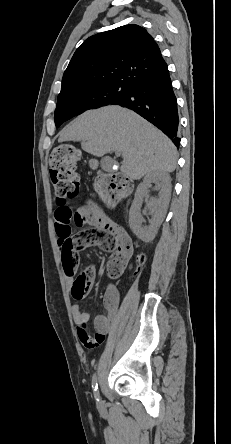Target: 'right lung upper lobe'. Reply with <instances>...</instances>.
<instances>
[{
  "instance_id": "right-lung-upper-lobe-1",
  "label": "right lung upper lobe",
  "mask_w": 231,
  "mask_h": 444,
  "mask_svg": "<svg viewBox=\"0 0 231 444\" xmlns=\"http://www.w3.org/2000/svg\"><path fill=\"white\" fill-rule=\"evenodd\" d=\"M166 69L153 37L138 25H125L91 36L78 47L60 93L111 83L131 85Z\"/></svg>"
}]
</instances>
